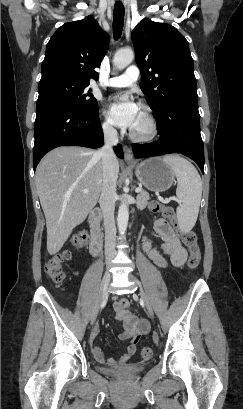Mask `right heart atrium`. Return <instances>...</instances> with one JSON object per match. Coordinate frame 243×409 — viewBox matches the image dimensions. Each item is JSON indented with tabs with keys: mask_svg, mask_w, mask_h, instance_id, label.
Wrapping results in <instances>:
<instances>
[{
	"mask_svg": "<svg viewBox=\"0 0 243 409\" xmlns=\"http://www.w3.org/2000/svg\"><path fill=\"white\" fill-rule=\"evenodd\" d=\"M102 129L104 130L105 133L107 134H112L114 132V128L110 124L109 121L105 120L102 122Z\"/></svg>",
	"mask_w": 243,
	"mask_h": 409,
	"instance_id": "1",
	"label": "right heart atrium"
}]
</instances>
